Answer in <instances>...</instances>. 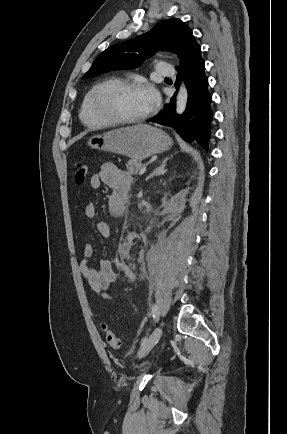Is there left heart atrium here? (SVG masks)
<instances>
[{
    "instance_id": "39dd6f15",
    "label": "left heart atrium",
    "mask_w": 287,
    "mask_h": 434,
    "mask_svg": "<svg viewBox=\"0 0 287 434\" xmlns=\"http://www.w3.org/2000/svg\"><path fill=\"white\" fill-rule=\"evenodd\" d=\"M142 92L146 100L148 110H152L154 107L158 105L159 95L156 89L152 85L145 84L144 86H142Z\"/></svg>"
}]
</instances>
